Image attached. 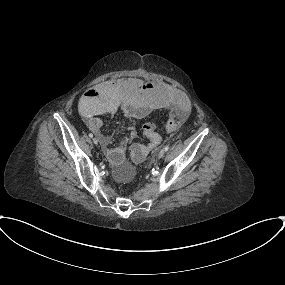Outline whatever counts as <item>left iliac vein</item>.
I'll return each mask as SVG.
<instances>
[{"label": "left iliac vein", "mask_w": 285, "mask_h": 285, "mask_svg": "<svg viewBox=\"0 0 285 285\" xmlns=\"http://www.w3.org/2000/svg\"><path fill=\"white\" fill-rule=\"evenodd\" d=\"M164 154H165V149H161L159 154H158V157L162 158L164 156Z\"/></svg>", "instance_id": "left-iliac-vein-1"}]
</instances>
